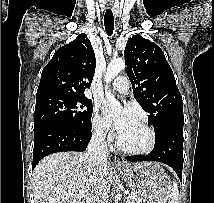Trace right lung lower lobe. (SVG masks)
<instances>
[{"mask_svg": "<svg viewBox=\"0 0 214 203\" xmlns=\"http://www.w3.org/2000/svg\"><path fill=\"white\" fill-rule=\"evenodd\" d=\"M92 133L59 124L34 130L33 166L45 156L62 151H85Z\"/></svg>", "mask_w": 214, "mask_h": 203, "instance_id": "98d812e1", "label": "right lung lower lobe"}]
</instances>
